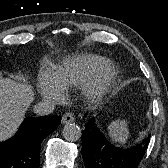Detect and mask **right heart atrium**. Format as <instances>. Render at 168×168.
I'll use <instances>...</instances> for the list:
<instances>
[{
	"label": "right heart atrium",
	"instance_id": "obj_1",
	"mask_svg": "<svg viewBox=\"0 0 168 168\" xmlns=\"http://www.w3.org/2000/svg\"><path fill=\"white\" fill-rule=\"evenodd\" d=\"M39 91L41 95L50 101H59L62 96V89H60L51 79L50 76L43 74L39 80Z\"/></svg>",
	"mask_w": 168,
	"mask_h": 168
}]
</instances>
